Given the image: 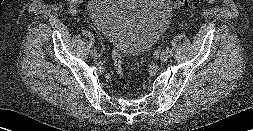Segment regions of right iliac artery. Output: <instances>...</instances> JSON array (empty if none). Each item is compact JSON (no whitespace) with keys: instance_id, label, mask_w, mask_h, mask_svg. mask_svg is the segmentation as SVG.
Here are the masks:
<instances>
[{"instance_id":"82829eb1","label":"right iliac artery","mask_w":253,"mask_h":131,"mask_svg":"<svg viewBox=\"0 0 253 131\" xmlns=\"http://www.w3.org/2000/svg\"><path fill=\"white\" fill-rule=\"evenodd\" d=\"M92 49H93L94 51H97V50L99 49V46H98L97 44H94V45L92 46Z\"/></svg>"}]
</instances>
